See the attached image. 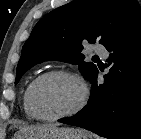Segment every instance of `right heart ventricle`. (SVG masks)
<instances>
[{
    "mask_svg": "<svg viewBox=\"0 0 141 139\" xmlns=\"http://www.w3.org/2000/svg\"><path fill=\"white\" fill-rule=\"evenodd\" d=\"M30 84L26 87V89L24 91V94H23V100H22L23 110H24V113H25L27 118H29V119H37L35 117V115L32 113V111H31V109L29 107V104H28V90H29Z\"/></svg>",
    "mask_w": 141,
    "mask_h": 139,
    "instance_id": "obj_1",
    "label": "right heart ventricle"
}]
</instances>
